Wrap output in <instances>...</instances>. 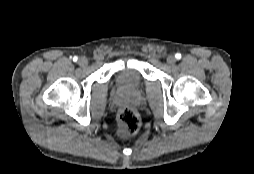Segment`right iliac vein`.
I'll use <instances>...</instances> for the list:
<instances>
[{"instance_id":"63e3f726","label":"right iliac vein","mask_w":254,"mask_h":174,"mask_svg":"<svg viewBox=\"0 0 254 174\" xmlns=\"http://www.w3.org/2000/svg\"><path fill=\"white\" fill-rule=\"evenodd\" d=\"M88 59L86 57H80L78 60V64L82 67H85L88 65Z\"/></svg>"}]
</instances>
